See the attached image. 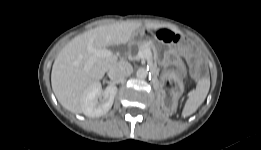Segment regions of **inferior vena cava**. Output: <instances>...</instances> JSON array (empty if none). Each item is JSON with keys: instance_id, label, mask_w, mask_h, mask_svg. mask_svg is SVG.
<instances>
[{"instance_id": "602c4592", "label": "inferior vena cava", "mask_w": 261, "mask_h": 150, "mask_svg": "<svg viewBox=\"0 0 261 150\" xmlns=\"http://www.w3.org/2000/svg\"><path fill=\"white\" fill-rule=\"evenodd\" d=\"M132 72L133 67L130 63L126 61H120L117 64H115L112 68H110L109 77L112 80H119L131 75Z\"/></svg>"}]
</instances>
